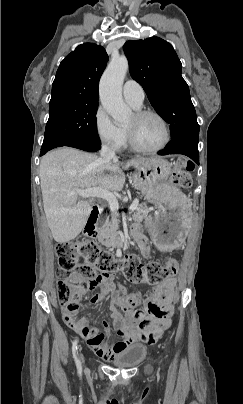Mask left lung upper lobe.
Here are the masks:
<instances>
[{"mask_svg": "<svg viewBox=\"0 0 243 404\" xmlns=\"http://www.w3.org/2000/svg\"><path fill=\"white\" fill-rule=\"evenodd\" d=\"M130 73L145 90L156 112L170 124L172 138L199 135V124L182 65L172 45L159 37L124 45Z\"/></svg>", "mask_w": 243, "mask_h": 404, "instance_id": "5c2ea615", "label": "left lung upper lobe"}]
</instances>
